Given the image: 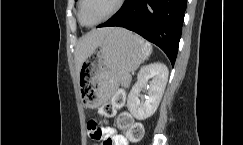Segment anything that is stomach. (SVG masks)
<instances>
[{
  "mask_svg": "<svg viewBox=\"0 0 243 145\" xmlns=\"http://www.w3.org/2000/svg\"><path fill=\"white\" fill-rule=\"evenodd\" d=\"M151 53V46L123 28L111 30L87 58L80 70V102L96 108L108 102L121 78L139 67Z\"/></svg>",
  "mask_w": 243,
  "mask_h": 145,
  "instance_id": "1",
  "label": "stomach"
}]
</instances>
